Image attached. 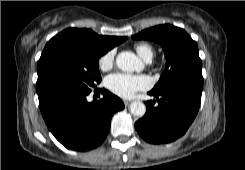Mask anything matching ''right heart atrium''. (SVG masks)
<instances>
[{"label": "right heart atrium", "mask_w": 245, "mask_h": 170, "mask_svg": "<svg viewBox=\"0 0 245 170\" xmlns=\"http://www.w3.org/2000/svg\"><path fill=\"white\" fill-rule=\"evenodd\" d=\"M114 58H115V51L114 50H110V51L106 52L105 54H103L99 58L100 69L101 70H107L110 67H112V65L114 63Z\"/></svg>", "instance_id": "1"}]
</instances>
